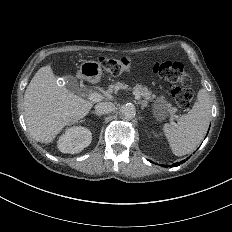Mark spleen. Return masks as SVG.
<instances>
[{
	"label": "spleen",
	"mask_w": 232,
	"mask_h": 232,
	"mask_svg": "<svg viewBox=\"0 0 232 232\" xmlns=\"http://www.w3.org/2000/svg\"><path fill=\"white\" fill-rule=\"evenodd\" d=\"M211 118V102L206 89H200L193 108L178 119L176 126L164 124L163 132L176 156L192 152L204 138Z\"/></svg>",
	"instance_id": "spleen-1"
}]
</instances>
